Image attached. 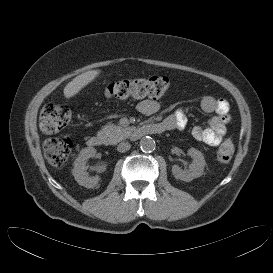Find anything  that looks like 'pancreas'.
Returning <instances> with one entry per match:
<instances>
[{
  "mask_svg": "<svg viewBox=\"0 0 273 273\" xmlns=\"http://www.w3.org/2000/svg\"><path fill=\"white\" fill-rule=\"evenodd\" d=\"M131 131L132 128L130 127L124 128L122 126L108 124L101 129L100 133L104 135L107 143L116 144L117 142L126 139Z\"/></svg>",
  "mask_w": 273,
  "mask_h": 273,
  "instance_id": "cf45deb5",
  "label": "pancreas"
}]
</instances>
